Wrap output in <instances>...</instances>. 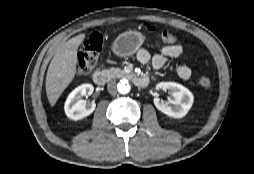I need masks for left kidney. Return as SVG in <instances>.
<instances>
[{"mask_svg":"<svg viewBox=\"0 0 254 174\" xmlns=\"http://www.w3.org/2000/svg\"><path fill=\"white\" fill-rule=\"evenodd\" d=\"M157 86L167 90L171 94L169 102L173 106L168 105L156 97L154 98L156 108L172 118L184 117L194 101V96L191 91L176 82H161Z\"/></svg>","mask_w":254,"mask_h":174,"instance_id":"left-kidney-1","label":"left kidney"}]
</instances>
